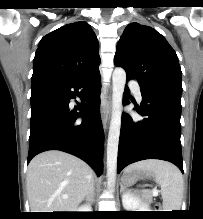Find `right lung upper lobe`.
Listing matches in <instances>:
<instances>
[{
	"label": "right lung upper lobe",
	"mask_w": 203,
	"mask_h": 219,
	"mask_svg": "<svg viewBox=\"0 0 203 219\" xmlns=\"http://www.w3.org/2000/svg\"><path fill=\"white\" fill-rule=\"evenodd\" d=\"M99 64L98 41L90 25L70 23L41 39L33 60L32 82L88 76L99 71Z\"/></svg>",
	"instance_id": "cb5924a9"
}]
</instances>
